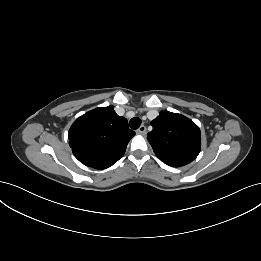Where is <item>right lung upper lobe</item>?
Instances as JSON below:
<instances>
[{
	"instance_id": "obj_1",
	"label": "right lung upper lobe",
	"mask_w": 261,
	"mask_h": 261,
	"mask_svg": "<svg viewBox=\"0 0 261 261\" xmlns=\"http://www.w3.org/2000/svg\"><path fill=\"white\" fill-rule=\"evenodd\" d=\"M134 135L127 119L118 116L113 106H108L77 118L68 138L74 156L82 164L101 170L112 166L124 155Z\"/></svg>"
}]
</instances>
